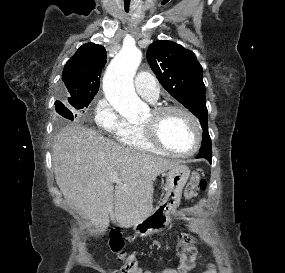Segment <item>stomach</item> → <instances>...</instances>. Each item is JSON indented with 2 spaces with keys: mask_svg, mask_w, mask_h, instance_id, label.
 <instances>
[{
  "mask_svg": "<svg viewBox=\"0 0 285 273\" xmlns=\"http://www.w3.org/2000/svg\"><path fill=\"white\" fill-rule=\"evenodd\" d=\"M190 170L186 165L178 164L169 169L166 181V193L160 204L144 220L136 223L134 228L140 234L156 232L153 222L170 221V215L179 206L182 190L189 178Z\"/></svg>",
  "mask_w": 285,
  "mask_h": 273,
  "instance_id": "1",
  "label": "stomach"
}]
</instances>
